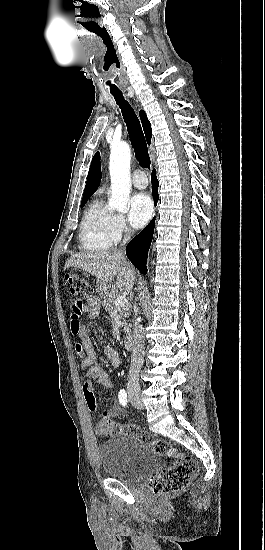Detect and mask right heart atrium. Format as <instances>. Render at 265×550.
<instances>
[{
    "instance_id": "right-heart-atrium-1",
    "label": "right heart atrium",
    "mask_w": 265,
    "mask_h": 550,
    "mask_svg": "<svg viewBox=\"0 0 265 550\" xmlns=\"http://www.w3.org/2000/svg\"><path fill=\"white\" fill-rule=\"evenodd\" d=\"M113 229L116 240L120 239L128 232V227L125 218L122 215H115Z\"/></svg>"
}]
</instances>
